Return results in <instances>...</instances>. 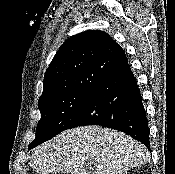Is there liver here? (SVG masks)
Here are the masks:
<instances>
[{
	"label": "liver",
	"mask_w": 175,
	"mask_h": 174,
	"mask_svg": "<svg viewBox=\"0 0 175 174\" xmlns=\"http://www.w3.org/2000/svg\"><path fill=\"white\" fill-rule=\"evenodd\" d=\"M149 156L146 147L130 136L92 125L66 130L43 143L29 164L38 174H126ZM87 161L94 164V171H87Z\"/></svg>",
	"instance_id": "obj_1"
}]
</instances>
